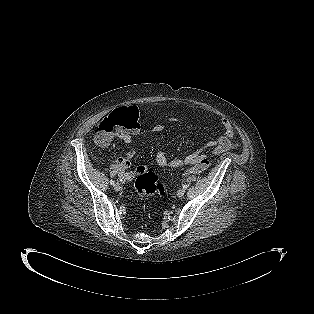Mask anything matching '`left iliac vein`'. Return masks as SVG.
Returning <instances> with one entry per match:
<instances>
[{"mask_svg": "<svg viewBox=\"0 0 314 314\" xmlns=\"http://www.w3.org/2000/svg\"><path fill=\"white\" fill-rule=\"evenodd\" d=\"M185 194V189H183V188H181V189H179L178 191H177V196L178 197H182L183 195Z\"/></svg>", "mask_w": 314, "mask_h": 314, "instance_id": "4c4485c4", "label": "left iliac vein"}]
</instances>
